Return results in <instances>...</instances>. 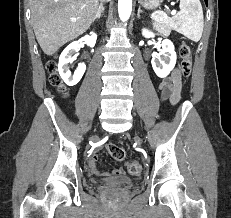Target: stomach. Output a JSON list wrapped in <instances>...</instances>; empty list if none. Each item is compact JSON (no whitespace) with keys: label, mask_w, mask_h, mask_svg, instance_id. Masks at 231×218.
Segmentation results:
<instances>
[{"label":"stomach","mask_w":231,"mask_h":218,"mask_svg":"<svg viewBox=\"0 0 231 218\" xmlns=\"http://www.w3.org/2000/svg\"><path fill=\"white\" fill-rule=\"evenodd\" d=\"M162 0H139V3L146 9H156Z\"/></svg>","instance_id":"1"}]
</instances>
